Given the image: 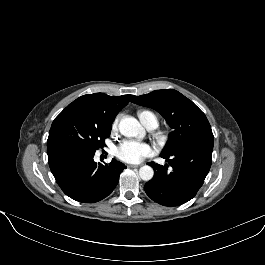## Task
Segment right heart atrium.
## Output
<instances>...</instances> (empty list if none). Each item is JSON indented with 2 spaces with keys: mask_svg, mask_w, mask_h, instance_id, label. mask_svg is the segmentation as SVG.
Listing matches in <instances>:
<instances>
[{
  "mask_svg": "<svg viewBox=\"0 0 265 265\" xmlns=\"http://www.w3.org/2000/svg\"><path fill=\"white\" fill-rule=\"evenodd\" d=\"M117 125H118V118H116L112 124V128L113 130H115L117 128Z\"/></svg>",
  "mask_w": 265,
  "mask_h": 265,
  "instance_id": "obj_1",
  "label": "right heart atrium"
}]
</instances>
